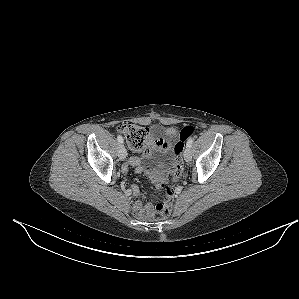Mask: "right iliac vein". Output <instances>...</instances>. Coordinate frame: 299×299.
<instances>
[{
	"instance_id": "63e3f726",
	"label": "right iliac vein",
	"mask_w": 299,
	"mask_h": 299,
	"mask_svg": "<svg viewBox=\"0 0 299 299\" xmlns=\"http://www.w3.org/2000/svg\"><path fill=\"white\" fill-rule=\"evenodd\" d=\"M127 156V151L124 147V145H120L119 147V158L120 160H124Z\"/></svg>"
}]
</instances>
